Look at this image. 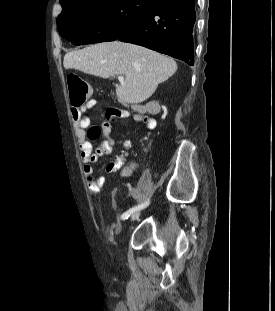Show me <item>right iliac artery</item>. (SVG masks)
Wrapping results in <instances>:
<instances>
[{
  "mask_svg": "<svg viewBox=\"0 0 275 311\" xmlns=\"http://www.w3.org/2000/svg\"><path fill=\"white\" fill-rule=\"evenodd\" d=\"M149 203H150V201L148 200V201H146V202H144V203H142V204H139L138 206L132 207L131 209L127 210L125 213L122 214L121 219H122V220L128 219V217H129L132 213H134L135 211H138V210H141V209L147 207V206L149 205Z\"/></svg>",
  "mask_w": 275,
  "mask_h": 311,
  "instance_id": "1",
  "label": "right iliac artery"
}]
</instances>
